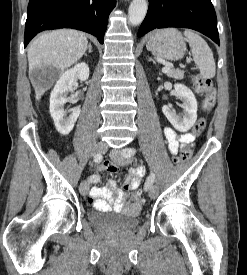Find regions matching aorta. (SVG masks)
Masks as SVG:
<instances>
[{
  "label": "aorta",
  "instance_id": "obj_1",
  "mask_svg": "<svg viewBox=\"0 0 247 275\" xmlns=\"http://www.w3.org/2000/svg\"><path fill=\"white\" fill-rule=\"evenodd\" d=\"M148 10V0H132L129 10V22L133 26H138L144 20Z\"/></svg>",
  "mask_w": 247,
  "mask_h": 275
}]
</instances>
